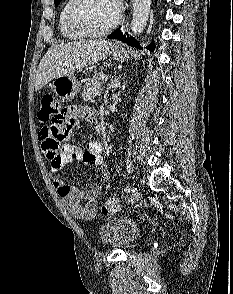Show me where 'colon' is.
Instances as JSON below:
<instances>
[{"mask_svg": "<svg viewBox=\"0 0 233 294\" xmlns=\"http://www.w3.org/2000/svg\"><path fill=\"white\" fill-rule=\"evenodd\" d=\"M61 108L62 107L52 95H44L40 100V110L38 112L39 121L41 123L48 124V120H50V117H56V115H52V110H61ZM118 209L119 204L117 200L110 199L101 205L100 213L102 215H109L117 212Z\"/></svg>", "mask_w": 233, "mask_h": 294, "instance_id": "1", "label": "colon"}]
</instances>
